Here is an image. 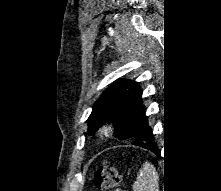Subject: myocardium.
<instances>
[{"instance_id": "f54148a6", "label": "myocardium", "mask_w": 221, "mask_h": 191, "mask_svg": "<svg viewBox=\"0 0 221 191\" xmlns=\"http://www.w3.org/2000/svg\"><path fill=\"white\" fill-rule=\"evenodd\" d=\"M112 133H113V128L111 125L108 124L102 126L99 130V136L101 138H108L112 135Z\"/></svg>"}]
</instances>
